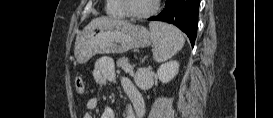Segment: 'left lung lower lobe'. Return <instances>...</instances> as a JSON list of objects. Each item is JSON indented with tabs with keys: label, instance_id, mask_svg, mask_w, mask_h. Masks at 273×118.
I'll list each match as a JSON object with an SVG mask.
<instances>
[{
	"label": "left lung lower lobe",
	"instance_id": "obj_1",
	"mask_svg": "<svg viewBox=\"0 0 273 118\" xmlns=\"http://www.w3.org/2000/svg\"><path fill=\"white\" fill-rule=\"evenodd\" d=\"M200 0H166L165 8L157 16L150 17V21L171 23L187 34L191 45L197 35L198 10Z\"/></svg>",
	"mask_w": 273,
	"mask_h": 118
}]
</instances>
